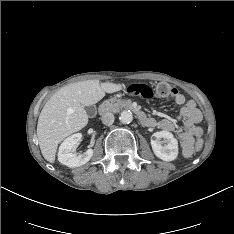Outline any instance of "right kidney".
Returning a JSON list of instances; mask_svg holds the SVG:
<instances>
[{"label":"right kidney","instance_id":"1","mask_svg":"<svg viewBox=\"0 0 234 234\" xmlns=\"http://www.w3.org/2000/svg\"><path fill=\"white\" fill-rule=\"evenodd\" d=\"M82 140V134L76 133L66 138L59 147L58 161L70 168L79 167L86 164L93 156V150L87 149L82 154L72 153L71 151Z\"/></svg>","mask_w":234,"mask_h":234}]
</instances>
